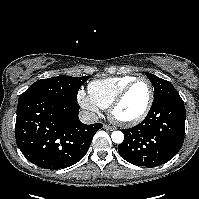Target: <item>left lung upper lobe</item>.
I'll list each match as a JSON object with an SVG mask.
<instances>
[{
  "instance_id": "obj_1",
  "label": "left lung upper lobe",
  "mask_w": 199,
  "mask_h": 199,
  "mask_svg": "<svg viewBox=\"0 0 199 199\" xmlns=\"http://www.w3.org/2000/svg\"><path fill=\"white\" fill-rule=\"evenodd\" d=\"M145 74L154 87L155 96L153 104L165 98L179 96L178 92L175 90V88L172 86L170 82L161 79L151 73L145 72Z\"/></svg>"
}]
</instances>
